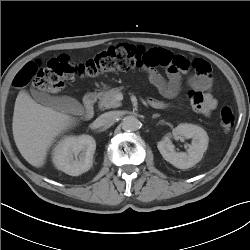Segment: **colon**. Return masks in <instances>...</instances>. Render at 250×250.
<instances>
[{
  "label": "colon",
  "instance_id": "obj_1",
  "mask_svg": "<svg viewBox=\"0 0 250 250\" xmlns=\"http://www.w3.org/2000/svg\"><path fill=\"white\" fill-rule=\"evenodd\" d=\"M187 65L186 59L179 55L161 49L145 48L129 43L110 46L106 50L80 64H73L66 54L51 58L46 66L40 67L34 62H28L15 76L13 86L23 88L29 83L33 87L51 93L61 91L65 81L75 75L95 77L104 72L130 69L165 68L168 72H176ZM196 73L205 69L210 73V79L198 90L189 93L191 103H198L204 99V90L211 84V66L208 62L198 59L194 63ZM234 112L229 104H223L219 110L220 125L229 130L234 123Z\"/></svg>",
  "mask_w": 250,
  "mask_h": 250
}]
</instances>
